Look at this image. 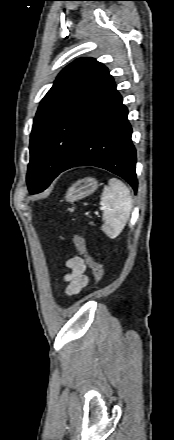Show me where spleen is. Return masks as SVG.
Segmentation results:
<instances>
[{"mask_svg":"<svg viewBox=\"0 0 174 440\" xmlns=\"http://www.w3.org/2000/svg\"><path fill=\"white\" fill-rule=\"evenodd\" d=\"M132 203L128 187L119 179L111 178L101 196V204L105 208L101 229L109 238H116L124 229L130 217Z\"/></svg>","mask_w":174,"mask_h":440,"instance_id":"spleen-1","label":"spleen"}]
</instances>
